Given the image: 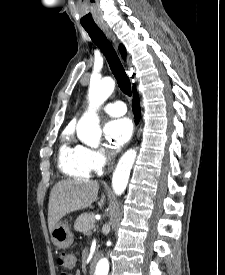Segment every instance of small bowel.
Masks as SVG:
<instances>
[{"instance_id":"obj_1","label":"small bowel","mask_w":225,"mask_h":275,"mask_svg":"<svg viewBox=\"0 0 225 275\" xmlns=\"http://www.w3.org/2000/svg\"><path fill=\"white\" fill-rule=\"evenodd\" d=\"M63 275H80L78 272H74V273H65Z\"/></svg>"}]
</instances>
